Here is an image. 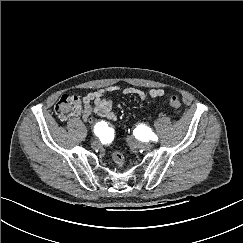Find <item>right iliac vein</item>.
Segmentation results:
<instances>
[{
  "label": "right iliac vein",
  "instance_id": "obj_1",
  "mask_svg": "<svg viewBox=\"0 0 243 243\" xmlns=\"http://www.w3.org/2000/svg\"><path fill=\"white\" fill-rule=\"evenodd\" d=\"M91 145H92L93 148H98L100 146V142L98 140H95V141L92 142Z\"/></svg>",
  "mask_w": 243,
  "mask_h": 243
}]
</instances>
